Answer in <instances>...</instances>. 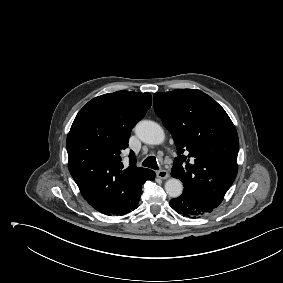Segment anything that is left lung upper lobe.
<instances>
[{
  "instance_id": "1",
  "label": "left lung upper lobe",
  "mask_w": 283,
  "mask_h": 283,
  "mask_svg": "<svg viewBox=\"0 0 283 283\" xmlns=\"http://www.w3.org/2000/svg\"><path fill=\"white\" fill-rule=\"evenodd\" d=\"M153 100L155 112L177 148L172 177L182 180L184 190L217 207L238 172L239 140L234 124L225 110L200 90L155 93Z\"/></svg>"
}]
</instances>
